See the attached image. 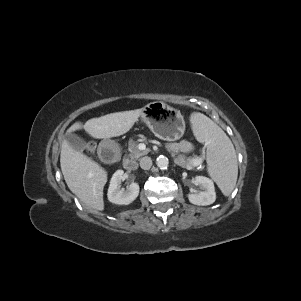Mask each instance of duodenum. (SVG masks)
I'll use <instances>...</instances> for the list:
<instances>
[{
  "label": "duodenum",
  "mask_w": 301,
  "mask_h": 301,
  "mask_svg": "<svg viewBox=\"0 0 301 301\" xmlns=\"http://www.w3.org/2000/svg\"><path fill=\"white\" fill-rule=\"evenodd\" d=\"M96 154L100 162L113 167L119 165L124 156L122 148L107 139L100 142ZM123 167L127 171H134L137 168V164L134 160L125 158Z\"/></svg>",
  "instance_id": "duodenum-1"
}]
</instances>
